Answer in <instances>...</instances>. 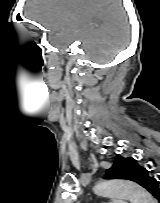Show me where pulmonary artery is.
<instances>
[{"mask_svg": "<svg viewBox=\"0 0 160 203\" xmlns=\"http://www.w3.org/2000/svg\"><path fill=\"white\" fill-rule=\"evenodd\" d=\"M113 203H127L126 200H113Z\"/></svg>", "mask_w": 160, "mask_h": 203, "instance_id": "pulmonary-artery-1", "label": "pulmonary artery"}]
</instances>
